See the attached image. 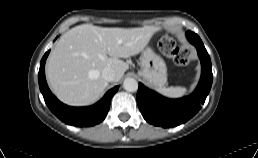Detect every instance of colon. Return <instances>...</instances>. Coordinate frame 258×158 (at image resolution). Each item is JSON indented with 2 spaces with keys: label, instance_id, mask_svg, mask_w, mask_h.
<instances>
[{
  "label": "colon",
  "instance_id": "5ec220e1",
  "mask_svg": "<svg viewBox=\"0 0 258 158\" xmlns=\"http://www.w3.org/2000/svg\"><path fill=\"white\" fill-rule=\"evenodd\" d=\"M159 47L161 51L171 57L179 65H187L192 61V49L178 45V37L167 33L160 40Z\"/></svg>",
  "mask_w": 258,
  "mask_h": 158
}]
</instances>
